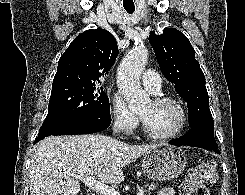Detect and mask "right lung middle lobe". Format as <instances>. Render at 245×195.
Returning <instances> with one entry per match:
<instances>
[{
    "instance_id": "dd1d6c3e",
    "label": "right lung middle lobe",
    "mask_w": 245,
    "mask_h": 195,
    "mask_svg": "<svg viewBox=\"0 0 245 195\" xmlns=\"http://www.w3.org/2000/svg\"><path fill=\"white\" fill-rule=\"evenodd\" d=\"M48 108L38 135L95 113H110L108 96L103 87L99 86L74 87L51 92Z\"/></svg>"
}]
</instances>
